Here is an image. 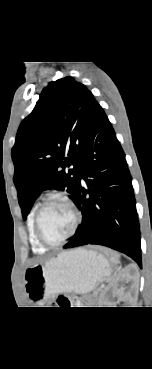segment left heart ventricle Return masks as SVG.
I'll list each match as a JSON object with an SVG mask.
<instances>
[{
    "mask_svg": "<svg viewBox=\"0 0 152 369\" xmlns=\"http://www.w3.org/2000/svg\"><path fill=\"white\" fill-rule=\"evenodd\" d=\"M71 209L61 201L50 202L43 210L40 226L44 238L56 242L65 237L73 226Z\"/></svg>",
    "mask_w": 152,
    "mask_h": 369,
    "instance_id": "left-heart-ventricle-1",
    "label": "left heart ventricle"
}]
</instances>
